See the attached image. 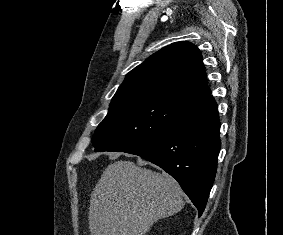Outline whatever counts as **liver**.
Segmentation results:
<instances>
[{"instance_id": "1", "label": "liver", "mask_w": 283, "mask_h": 235, "mask_svg": "<svg viewBox=\"0 0 283 235\" xmlns=\"http://www.w3.org/2000/svg\"><path fill=\"white\" fill-rule=\"evenodd\" d=\"M145 164L117 161L107 166L91 194V235H145L159 219L183 208L177 181L141 167Z\"/></svg>"}]
</instances>
